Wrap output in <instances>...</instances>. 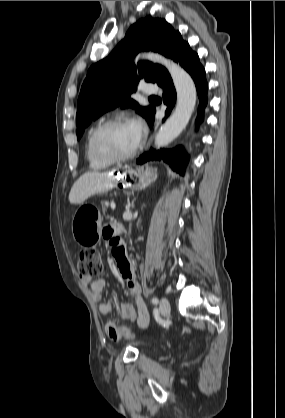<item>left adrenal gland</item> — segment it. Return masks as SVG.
<instances>
[{"mask_svg": "<svg viewBox=\"0 0 285 418\" xmlns=\"http://www.w3.org/2000/svg\"><path fill=\"white\" fill-rule=\"evenodd\" d=\"M134 202H135V199H134V200L132 201V203H131V207H132V208H134V206H135V205H134Z\"/></svg>", "mask_w": 285, "mask_h": 418, "instance_id": "1", "label": "left adrenal gland"}]
</instances>
